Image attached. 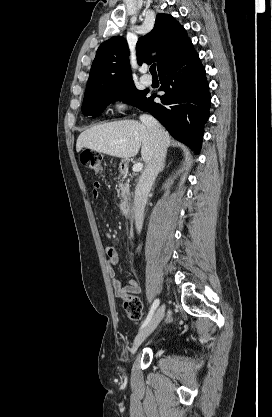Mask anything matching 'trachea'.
I'll return each mask as SVG.
<instances>
[{"instance_id": "3493384b", "label": "trachea", "mask_w": 272, "mask_h": 417, "mask_svg": "<svg viewBox=\"0 0 272 417\" xmlns=\"http://www.w3.org/2000/svg\"><path fill=\"white\" fill-rule=\"evenodd\" d=\"M149 70H150V73L152 75H157V72H156V64L151 65V67H150Z\"/></svg>"}]
</instances>
